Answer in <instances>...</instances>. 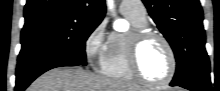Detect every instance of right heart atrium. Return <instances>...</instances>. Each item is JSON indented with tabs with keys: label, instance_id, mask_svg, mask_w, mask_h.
I'll use <instances>...</instances> for the list:
<instances>
[{
	"label": "right heart atrium",
	"instance_id": "right-heart-atrium-1",
	"mask_svg": "<svg viewBox=\"0 0 220 91\" xmlns=\"http://www.w3.org/2000/svg\"><path fill=\"white\" fill-rule=\"evenodd\" d=\"M110 38L107 35L105 23L96 25L86 36L84 54L87 62L93 67H101L107 54Z\"/></svg>",
	"mask_w": 220,
	"mask_h": 91
}]
</instances>
